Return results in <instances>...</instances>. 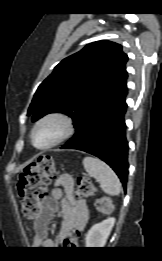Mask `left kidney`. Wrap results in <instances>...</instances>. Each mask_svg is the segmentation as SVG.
<instances>
[{
	"mask_svg": "<svg viewBox=\"0 0 162 261\" xmlns=\"http://www.w3.org/2000/svg\"><path fill=\"white\" fill-rule=\"evenodd\" d=\"M114 224L115 218L110 217L93 225L86 235L85 246L88 248L104 247Z\"/></svg>",
	"mask_w": 162,
	"mask_h": 261,
	"instance_id": "5707ae66",
	"label": "left kidney"
}]
</instances>
